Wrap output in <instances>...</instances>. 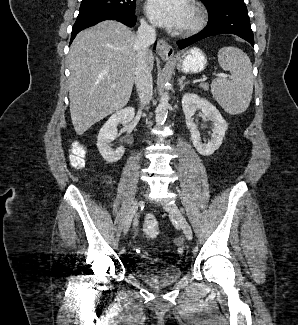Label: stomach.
<instances>
[{
    "instance_id": "obj_1",
    "label": "stomach",
    "mask_w": 298,
    "mask_h": 325,
    "mask_svg": "<svg viewBox=\"0 0 298 325\" xmlns=\"http://www.w3.org/2000/svg\"><path fill=\"white\" fill-rule=\"evenodd\" d=\"M162 60L168 64H175L177 70L184 72V74L203 72L208 64L207 54L198 46H191V48L178 52L175 54V58H162Z\"/></svg>"
}]
</instances>
